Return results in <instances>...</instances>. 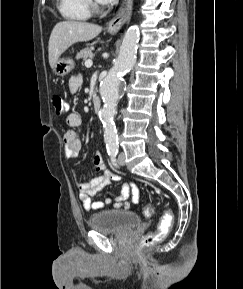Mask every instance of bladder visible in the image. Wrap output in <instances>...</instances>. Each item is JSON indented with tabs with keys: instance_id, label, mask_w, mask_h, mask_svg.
Here are the masks:
<instances>
[{
	"instance_id": "bladder-1",
	"label": "bladder",
	"mask_w": 243,
	"mask_h": 289,
	"mask_svg": "<svg viewBox=\"0 0 243 289\" xmlns=\"http://www.w3.org/2000/svg\"><path fill=\"white\" fill-rule=\"evenodd\" d=\"M88 222L94 230L121 234L140 225L141 218L132 211L110 209L91 215Z\"/></svg>"
}]
</instances>
